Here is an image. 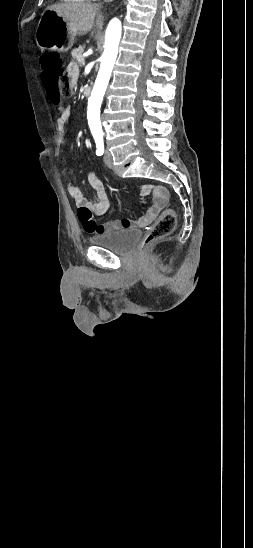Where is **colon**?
<instances>
[{
  "label": "colon",
  "instance_id": "5ec220e1",
  "mask_svg": "<svg viewBox=\"0 0 253 548\" xmlns=\"http://www.w3.org/2000/svg\"><path fill=\"white\" fill-rule=\"evenodd\" d=\"M44 72L41 79L43 89L49 99H54L57 105H64L72 93L71 79L62 70L61 60L55 54H45L41 57ZM176 226V216L173 210H164L147 231L138 246L139 251L145 250L153 242L171 234Z\"/></svg>",
  "mask_w": 253,
  "mask_h": 548
}]
</instances>
